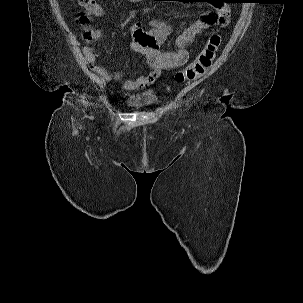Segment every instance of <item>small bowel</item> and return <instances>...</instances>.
<instances>
[{"label": "small bowel", "mask_w": 303, "mask_h": 303, "mask_svg": "<svg viewBox=\"0 0 303 303\" xmlns=\"http://www.w3.org/2000/svg\"><path fill=\"white\" fill-rule=\"evenodd\" d=\"M137 3L141 0H129ZM91 17H99L104 13L101 3L94 1L88 6ZM230 9L227 5H221L214 11L201 14L198 20L190 24L175 40L173 50L163 51L162 45L172 32V27L163 20L152 19L149 21L150 30H143L140 23H134L129 27L133 41L131 47L134 51L144 55L149 72L133 80H126L121 85L122 90L138 91L152 85L161 75L164 69H175L183 66L189 57L186 46L204 30L216 26L226 25L229 19ZM145 39H150L146 42ZM84 55L91 69L105 82L120 80L123 73L112 72L98 64L101 60L100 52L95 47H85Z\"/></svg>", "instance_id": "obj_1"}]
</instances>
